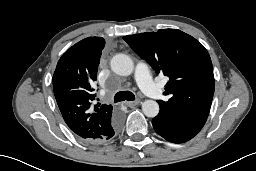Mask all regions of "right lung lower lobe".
Segmentation results:
<instances>
[{
	"label": "right lung lower lobe",
	"instance_id": "obj_1",
	"mask_svg": "<svg viewBox=\"0 0 256 171\" xmlns=\"http://www.w3.org/2000/svg\"><path fill=\"white\" fill-rule=\"evenodd\" d=\"M120 125H121V118H120L119 115L116 114V115L113 117V119L111 120V123H110V132L108 133L109 136L106 137L105 140L100 141V142H104V141H106V140L112 138V137L114 136L115 132H117V131L119 130ZM100 142H99V143H100ZM97 143H98V142H97Z\"/></svg>",
	"mask_w": 256,
	"mask_h": 171
}]
</instances>
